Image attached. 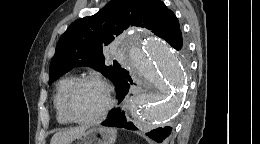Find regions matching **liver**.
<instances>
[{"label":"liver","instance_id":"6515ba94","mask_svg":"<svg viewBox=\"0 0 260 144\" xmlns=\"http://www.w3.org/2000/svg\"><path fill=\"white\" fill-rule=\"evenodd\" d=\"M85 131V127H75L59 131L53 135L50 144H69L73 139L82 135Z\"/></svg>","mask_w":260,"mask_h":144}]
</instances>
